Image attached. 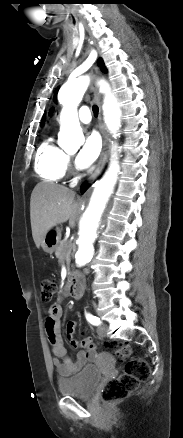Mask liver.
I'll return each instance as SVG.
<instances>
[{
  "mask_svg": "<svg viewBox=\"0 0 183 438\" xmlns=\"http://www.w3.org/2000/svg\"><path fill=\"white\" fill-rule=\"evenodd\" d=\"M78 203L75 192L52 183H38L30 201V218L33 240L40 247L44 235L52 227L69 221L74 227Z\"/></svg>",
  "mask_w": 183,
  "mask_h": 438,
  "instance_id": "obj_1",
  "label": "liver"
}]
</instances>
